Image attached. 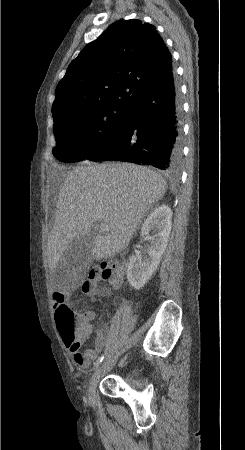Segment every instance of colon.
<instances>
[{
	"mask_svg": "<svg viewBox=\"0 0 245 450\" xmlns=\"http://www.w3.org/2000/svg\"><path fill=\"white\" fill-rule=\"evenodd\" d=\"M125 269V261H114L108 265H103L89 274L88 281L83 288L84 290H89L91 284L95 281H110L114 278L121 279L124 276ZM54 299L62 302L55 312V326L58 333L65 343L79 344L81 340L86 339L89 336V324L77 319L71 306L68 303L63 302L64 294L56 293L54 294ZM77 360L81 362L82 357L78 356Z\"/></svg>",
	"mask_w": 245,
	"mask_h": 450,
	"instance_id": "colon-1",
	"label": "colon"
}]
</instances>
